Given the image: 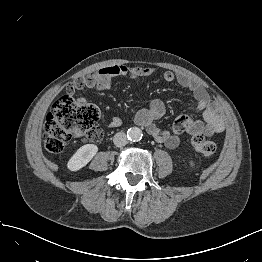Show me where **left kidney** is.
<instances>
[{"label": "left kidney", "instance_id": "1", "mask_svg": "<svg viewBox=\"0 0 262 262\" xmlns=\"http://www.w3.org/2000/svg\"><path fill=\"white\" fill-rule=\"evenodd\" d=\"M190 165H191V166H194V163H193L192 161H190Z\"/></svg>", "mask_w": 262, "mask_h": 262}]
</instances>
